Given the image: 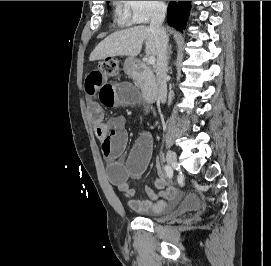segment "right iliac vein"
I'll list each match as a JSON object with an SVG mask.
<instances>
[{"label": "right iliac vein", "instance_id": "obj_1", "mask_svg": "<svg viewBox=\"0 0 271 266\" xmlns=\"http://www.w3.org/2000/svg\"><path fill=\"white\" fill-rule=\"evenodd\" d=\"M166 158H167L168 164H170L171 166L176 165V163H177V155H176V153L174 151L169 150L167 152Z\"/></svg>", "mask_w": 271, "mask_h": 266}]
</instances>
